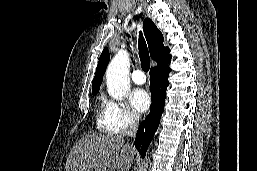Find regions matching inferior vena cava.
<instances>
[{
    "label": "inferior vena cava",
    "instance_id": "inferior-vena-cava-1",
    "mask_svg": "<svg viewBox=\"0 0 257 171\" xmlns=\"http://www.w3.org/2000/svg\"><path fill=\"white\" fill-rule=\"evenodd\" d=\"M138 124H139V117L135 114L131 115L129 120V129L125 132L124 135L135 136L137 132Z\"/></svg>",
    "mask_w": 257,
    "mask_h": 171
}]
</instances>
